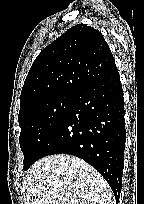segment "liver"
<instances>
[{
  "label": "liver",
  "instance_id": "liver-1",
  "mask_svg": "<svg viewBox=\"0 0 144 204\" xmlns=\"http://www.w3.org/2000/svg\"><path fill=\"white\" fill-rule=\"evenodd\" d=\"M25 204H114L102 175L75 156L57 154L35 162L22 180Z\"/></svg>",
  "mask_w": 144,
  "mask_h": 204
}]
</instances>
